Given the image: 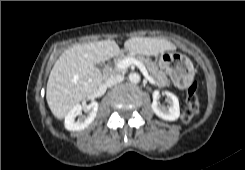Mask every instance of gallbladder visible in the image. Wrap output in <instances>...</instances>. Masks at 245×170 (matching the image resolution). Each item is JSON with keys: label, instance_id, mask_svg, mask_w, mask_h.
I'll list each match as a JSON object with an SVG mask.
<instances>
[{"label": "gallbladder", "instance_id": "gallbladder-1", "mask_svg": "<svg viewBox=\"0 0 245 170\" xmlns=\"http://www.w3.org/2000/svg\"><path fill=\"white\" fill-rule=\"evenodd\" d=\"M96 67L99 68V69H102L103 65L102 64H96Z\"/></svg>", "mask_w": 245, "mask_h": 170}]
</instances>
